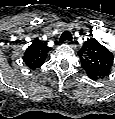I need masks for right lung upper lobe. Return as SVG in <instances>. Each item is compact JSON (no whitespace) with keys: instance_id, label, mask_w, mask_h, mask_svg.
Here are the masks:
<instances>
[{"instance_id":"1","label":"right lung upper lobe","mask_w":115,"mask_h":119,"mask_svg":"<svg viewBox=\"0 0 115 119\" xmlns=\"http://www.w3.org/2000/svg\"><path fill=\"white\" fill-rule=\"evenodd\" d=\"M51 50L46 44L38 39L26 49L23 61L30 69H36L44 64L48 52Z\"/></svg>"}]
</instances>
